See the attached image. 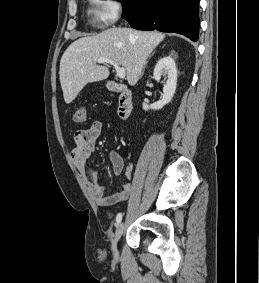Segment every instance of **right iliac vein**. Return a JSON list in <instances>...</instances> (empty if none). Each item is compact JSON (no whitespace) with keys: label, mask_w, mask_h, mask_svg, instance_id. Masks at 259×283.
Wrapping results in <instances>:
<instances>
[{"label":"right iliac vein","mask_w":259,"mask_h":283,"mask_svg":"<svg viewBox=\"0 0 259 283\" xmlns=\"http://www.w3.org/2000/svg\"><path fill=\"white\" fill-rule=\"evenodd\" d=\"M124 230H125V224L122 222L117 227L114 238L112 240V251L116 257L118 256L117 243L121 238L122 234L124 233Z\"/></svg>","instance_id":"63e3f726"}]
</instances>
